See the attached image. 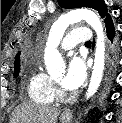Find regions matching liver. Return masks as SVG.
<instances>
[{
    "mask_svg": "<svg viewBox=\"0 0 122 123\" xmlns=\"http://www.w3.org/2000/svg\"><path fill=\"white\" fill-rule=\"evenodd\" d=\"M59 111L55 107L24 103L18 106L11 117V123H57Z\"/></svg>",
    "mask_w": 122,
    "mask_h": 123,
    "instance_id": "6515ba94",
    "label": "liver"
}]
</instances>
